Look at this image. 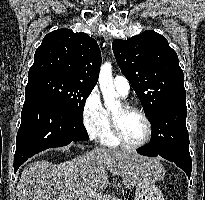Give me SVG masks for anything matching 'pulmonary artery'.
I'll return each mask as SVG.
<instances>
[{"label":"pulmonary artery","mask_w":205,"mask_h":200,"mask_svg":"<svg viewBox=\"0 0 205 200\" xmlns=\"http://www.w3.org/2000/svg\"><path fill=\"white\" fill-rule=\"evenodd\" d=\"M113 85L122 97L129 94L130 84L124 76H116L113 80Z\"/></svg>","instance_id":"pulmonary-artery-1"}]
</instances>
